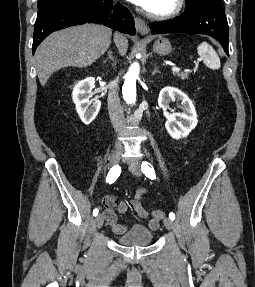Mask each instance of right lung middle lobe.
<instances>
[{
    "label": "right lung middle lobe",
    "instance_id": "dd1d6c3e",
    "mask_svg": "<svg viewBox=\"0 0 255 287\" xmlns=\"http://www.w3.org/2000/svg\"><path fill=\"white\" fill-rule=\"evenodd\" d=\"M112 0H39L38 15L62 8L71 7H90L96 11L103 12L108 6L112 5Z\"/></svg>",
    "mask_w": 255,
    "mask_h": 287
}]
</instances>
